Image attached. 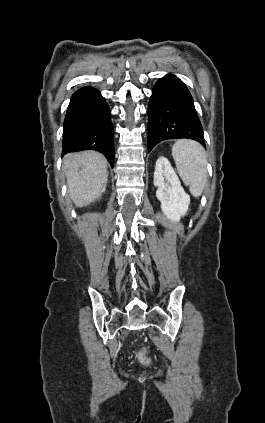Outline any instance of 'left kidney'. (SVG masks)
Masks as SVG:
<instances>
[{
    "mask_svg": "<svg viewBox=\"0 0 265 423\" xmlns=\"http://www.w3.org/2000/svg\"><path fill=\"white\" fill-rule=\"evenodd\" d=\"M154 185L158 187L156 197L161 202L163 213L169 220L179 222L188 210L190 197L165 157H159L156 161Z\"/></svg>",
    "mask_w": 265,
    "mask_h": 423,
    "instance_id": "obj_1",
    "label": "left kidney"
}]
</instances>
